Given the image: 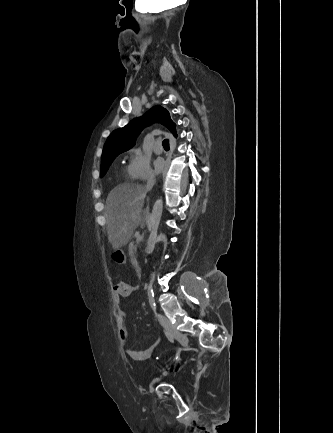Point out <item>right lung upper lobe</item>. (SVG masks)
I'll use <instances>...</instances> for the list:
<instances>
[{
  "label": "right lung upper lobe",
  "mask_w": 333,
  "mask_h": 433,
  "mask_svg": "<svg viewBox=\"0 0 333 433\" xmlns=\"http://www.w3.org/2000/svg\"><path fill=\"white\" fill-rule=\"evenodd\" d=\"M159 122L166 126L177 137L176 125L171 120L168 110L154 106L142 117L135 118L123 128L115 130L107 139L102 153V162L109 157L119 155L135 145L136 138L145 126Z\"/></svg>",
  "instance_id": "1"
}]
</instances>
